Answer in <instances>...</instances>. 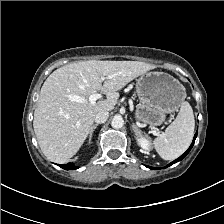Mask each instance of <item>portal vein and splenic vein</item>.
<instances>
[{"mask_svg":"<svg viewBox=\"0 0 224 224\" xmlns=\"http://www.w3.org/2000/svg\"><path fill=\"white\" fill-rule=\"evenodd\" d=\"M100 79H101L102 81H104V80L106 79V77L102 76ZM69 98H70L71 101H76V102H82V101H83L82 98H80L79 96H75V95H70ZM101 98H102V95L99 94V93H96V94H92V95H90L88 101H89L91 104H95L96 101H97L98 99H101Z\"/></svg>","mask_w":224,"mask_h":224,"instance_id":"obj_1","label":"portal vein and splenic vein"}]
</instances>
